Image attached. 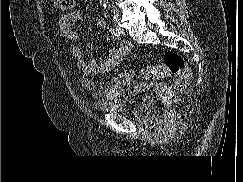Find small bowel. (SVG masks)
<instances>
[{"label":"small bowel","instance_id":"obj_1","mask_svg":"<svg viewBox=\"0 0 243 182\" xmlns=\"http://www.w3.org/2000/svg\"><path fill=\"white\" fill-rule=\"evenodd\" d=\"M81 12L78 10L71 11L60 16L58 25L61 35L68 41L72 42L71 52L73 57L77 60L78 68L82 75V87L86 90H93L95 88V81L90 77L91 75L101 73H112L117 70L120 63L129 52L130 45L125 41L118 42L117 46L112 48L106 59L89 60L83 58V51L77 44L80 40L78 34L74 29V24L81 19ZM98 28H105L107 26L104 20L96 22ZM139 88V85L134 82L132 74L129 70L118 72L117 78H110L108 86L104 92L94 91L93 97L100 99L105 97L110 100L118 98L122 93H129Z\"/></svg>","mask_w":243,"mask_h":182}]
</instances>
